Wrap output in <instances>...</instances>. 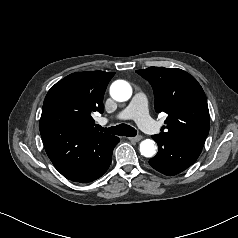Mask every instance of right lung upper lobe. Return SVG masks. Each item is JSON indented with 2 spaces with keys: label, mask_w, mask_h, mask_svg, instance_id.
Returning a JSON list of instances; mask_svg holds the SVG:
<instances>
[{
  "label": "right lung upper lobe",
  "mask_w": 238,
  "mask_h": 238,
  "mask_svg": "<svg viewBox=\"0 0 238 238\" xmlns=\"http://www.w3.org/2000/svg\"><path fill=\"white\" fill-rule=\"evenodd\" d=\"M115 72L90 71L68 75L47 93L40 133L55 168L67 175L92 163L115 137L97 132L93 112H103V96Z\"/></svg>",
  "instance_id": "right-lung-upper-lobe-1"
}]
</instances>
